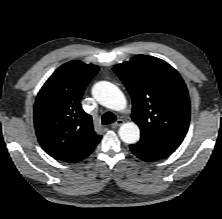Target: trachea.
I'll return each mask as SVG.
<instances>
[{
    "label": "trachea",
    "mask_w": 222,
    "mask_h": 219,
    "mask_svg": "<svg viewBox=\"0 0 222 219\" xmlns=\"http://www.w3.org/2000/svg\"><path fill=\"white\" fill-rule=\"evenodd\" d=\"M116 120H117V118H116L115 114H113L112 112H106L102 116V124L103 125L111 124V123L115 122Z\"/></svg>",
    "instance_id": "trachea-1"
}]
</instances>
